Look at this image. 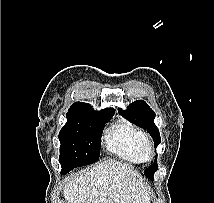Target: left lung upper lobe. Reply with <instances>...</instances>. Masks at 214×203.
<instances>
[{"label":"left lung upper lobe","instance_id":"5c2ea615","mask_svg":"<svg viewBox=\"0 0 214 203\" xmlns=\"http://www.w3.org/2000/svg\"><path fill=\"white\" fill-rule=\"evenodd\" d=\"M120 114L127 118L130 122L144 128L154 139L155 146H158L161 142L160 133L157 126L154 123L155 112L146 104L143 100H138L129 105L126 111L119 109ZM158 164L155 162L153 165L145 169L144 174L150 178H153V174L157 171Z\"/></svg>","mask_w":214,"mask_h":203}]
</instances>
